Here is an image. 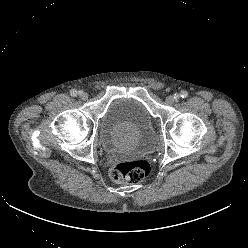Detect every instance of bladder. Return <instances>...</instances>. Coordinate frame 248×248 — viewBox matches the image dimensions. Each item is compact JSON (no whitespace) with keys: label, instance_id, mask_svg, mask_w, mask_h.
<instances>
[{"label":"bladder","instance_id":"obj_1","mask_svg":"<svg viewBox=\"0 0 248 248\" xmlns=\"http://www.w3.org/2000/svg\"><path fill=\"white\" fill-rule=\"evenodd\" d=\"M99 134L107 150L113 153L150 152L155 143L152 117L134 98L118 97L107 106Z\"/></svg>","mask_w":248,"mask_h":248}]
</instances>
